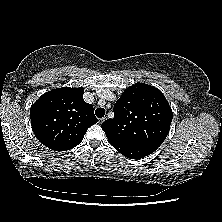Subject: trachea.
<instances>
[{
	"label": "trachea",
	"mask_w": 222,
	"mask_h": 222,
	"mask_svg": "<svg viewBox=\"0 0 222 222\" xmlns=\"http://www.w3.org/2000/svg\"><path fill=\"white\" fill-rule=\"evenodd\" d=\"M95 114L98 118H102L105 115V109L103 108H97L95 111Z\"/></svg>",
	"instance_id": "3493384b"
}]
</instances>
